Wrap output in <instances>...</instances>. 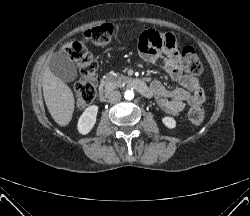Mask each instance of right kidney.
Segmentation results:
<instances>
[{
  "label": "right kidney",
  "instance_id": "ca27d5eb",
  "mask_svg": "<svg viewBox=\"0 0 250 216\" xmlns=\"http://www.w3.org/2000/svg\"><path fill=\"white\" fill-rule=\"evenodd\" d=\"M98 106L91 105L85 109L78 120L77 129L80 134H88L96 123Z\"/></svg>",
  "mask_w": 250,
  "mask_h": 216
}]
</instances>
